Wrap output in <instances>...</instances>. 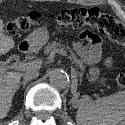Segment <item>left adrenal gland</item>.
Returning a JSON list of instances; mask_svg holds the SVG:
<instances>
[{
	"label": "left adrenal gland",
	"mask_w": 125,
	"mask_h": 125,
	"mask_svg": "<svg viewBox=\"0 0 125 125\" xmlns=\"http://www.w3.org/2000/svg\"><path fill=\"white\" fill-rule=\"evenodd\" d=\"M75 101V96L71 99L70 103H73Z\"/></svg>",
	"instance_id": "a2214340"
}]
</instances>
